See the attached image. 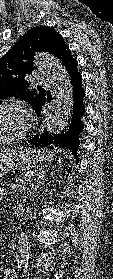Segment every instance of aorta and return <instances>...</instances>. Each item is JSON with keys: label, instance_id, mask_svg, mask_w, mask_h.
<instances>
[{"label": "aorta", "instance_id": "1", "mask_svg": "<svg viewBox=\"0 0 113 279\" xmlns=\"http://www.w3.org/2000/svg\"><path fill=\"white\" fill-rule=\"evenodd\" d=\"M34 64L46 73L54 87L55 105L52 113L45 120L46 132L58 135L67 126L73 106V91L70 78L65 67L54 56L40 52L35 55ZM16 260L20 267H26L29 262V236L22 231L18 237Z\"/></svg>", "mask_w": 113, "mask_h": 279}]
</instances>
